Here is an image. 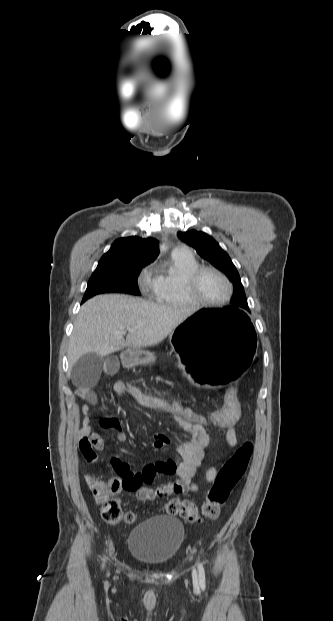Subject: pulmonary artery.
Segmentation results:
<instances>
[{"mask_svg":"<svg viewBox=\"0 0 333 621\" xmlns=\"http://www.w3.org/2000/svg\"><path fill=\"white\" fill-rule=\"evenodd\" d=\"M175 251H177V252H181V253H187V254H190V251H189V250H188V248H186V247H180V248L176 249Z\"/></svg>","mask_w":333,"mask_h":621,"instance_id":"pulmonary-artery-1","label":"pulmonary artery"}]
</instances>
